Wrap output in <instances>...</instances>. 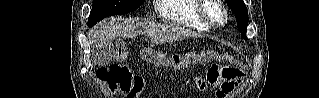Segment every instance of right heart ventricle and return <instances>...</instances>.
<instances>
[{
    "mask_svg": "<svg viewBox=\"0 0 319 98\" xmlns=\"http://www.w3.org/2000/svg\"><path fill=\"white\" fill-rule=\"evenodd\" d=\"M199 0H157V13L165 21L197 31L210 29L198 14Z\"/></svg>",
    "mask_w": 319,
    "mask_h": 98,
    "instance_id": "1",
    "label": "right heart ventricle"
}]
</instances>
